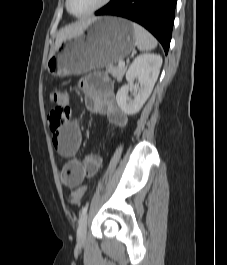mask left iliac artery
Here are the masks:
<instances>
[{
	"instance_id": "left-iliac-artery-1",
	"label": "left iliac artery",
	"mask_w": 227,
	"mask_h": 265,
	"mask_svg": "<svg viewBox=\"0 0 227 265\" xmlns=\"http://www.w3.org/2000/svg\"><path fill=\"white\" fill-rule=\"evenodd\" d=\"M88 206H89V204H86V205L83 207L82 211L80 212V216H81V217H83V216L86 214V212H87V210H88Z\"/></svg>"
}]
</instances>
